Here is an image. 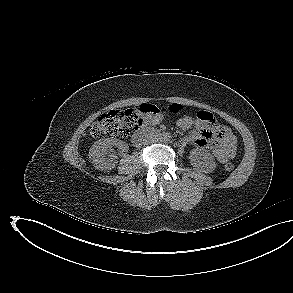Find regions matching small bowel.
I'll return each instance as SVG.
<instances>
[{"mask_svg": "<svg viewBox=\"0 0 293 293\" xmlns=\"http://www.w3.org/2000/svg\"><path fill=\"white\" fill-rule=\"evenodd\" d=\"M138 109L142 113L145 127L157 125L163 118L158 107L153 104L143 103ZM205 113L213 117L211 113ZM177 124L182 130H188L192 126L196 128L195 132L180 141V146L194 144L198 147L209 149L220 163H226L234 158L237 140L230 129L216 122L214 117L212 121H206L200 118L198 114L196 118L184 116L178 120Z\"/></svg>", "mask_w": 293, "mask_h": 293, "instance_id": "small-bowel-1", "label": "small bowel"}]
</instances>
